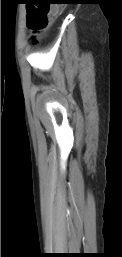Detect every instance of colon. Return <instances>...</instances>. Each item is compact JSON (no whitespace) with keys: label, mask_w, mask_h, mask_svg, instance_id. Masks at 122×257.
<instances>
[{"label":"colon","mask_w":122,"mask_h":257,"mask_svg":"<svg viewBox=\"0 0 122 257\" xmlns=\"http://www.w3.org/2000/svg\"><path fill=\"white\" fill-rule=\"evenodd\" d=\"M28 27L37 36L50 23L51 9L49 5H31L27 11Z\"/></svg>","instance_id":"1"}]
</instances>
